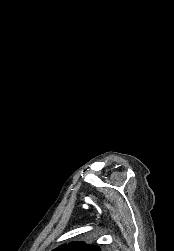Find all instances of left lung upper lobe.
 I'll list each match as a JSON object with an SVG mask.
<instances>
[{
  "label": "left lung upper lobe",
  "mask_w": 174,
  "mask_h": 251,
  "mask_svg": "<svg viewBox=\"0 0 174 251\" xmlns=\"http://www.w3.org/2000/svg\"><path fill=\"white\" fill-rule=\"evenodd\" d=\"M53 251H101V249L95 245H87L81 242H71L68 245L63 244Z\"/></svg>",
  "instance_id": "1"
}]
</instances>
